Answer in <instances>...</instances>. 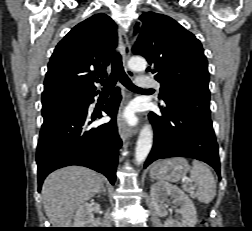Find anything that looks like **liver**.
Segmentation results:
<instances>
[{
  "label": "liver",
  "mask_w": 252,
  "mask_h": 231,
  "mask_svg": "<svg viewBox=\"0 0 252 231\" xmlns=\"http://www.w3.org/2000/svg\"><path fill=\"white\" fill-rule=\"evenodd\" d=\"M99 174L88 168L70 166L51 173L42 186L45 213L54 228H69L75 210L100 192Z\"/></svg>",
  "instance_id": "liver-1"
}]
</instances>
